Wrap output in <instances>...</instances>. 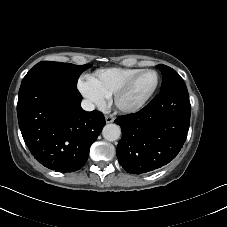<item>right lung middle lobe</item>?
I'll return each instance as SVG.
<instances>
[{"label":"right lung middle lobe","instance_id":"obj_1","mask_svg":"<svg viewBox=\"0 0 227 227\" xmlns=\"http://www.w3.org/2000/svg\"><path fill=\"white\" fill-rule=\"evenodd\" d=\"M91 66V64L79 66L71 63L41 61L26 74L21 85H24L35 78L47 77L77 87L79 75Z\"/></svg>","mask_w":227,"mask_h":227}]
</instances>
